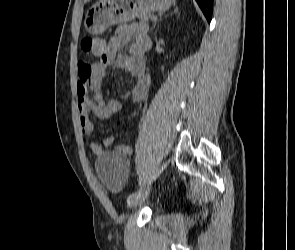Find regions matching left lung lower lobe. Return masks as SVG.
<instances>
[{
    "label": "left lung lower lobe",
    "instance_id": "0a47b994",
    "mask_svg": "<svg viewBox=\"0 0 295 250\" xmlns=\"http://www.w3.org/2000/svg\"><path fill=\"white\" fill-rule=\"evenodd\" d=\"M196 2L198 3L200 8L202 9L208 22H210L211 16H212V2H213V0H196Z\"/></svg>",
    "mask_w": 295,
    "mask_h": 250
}]
</instances>
